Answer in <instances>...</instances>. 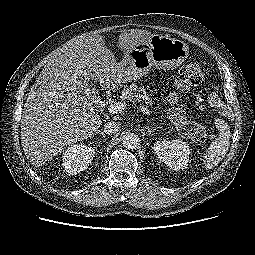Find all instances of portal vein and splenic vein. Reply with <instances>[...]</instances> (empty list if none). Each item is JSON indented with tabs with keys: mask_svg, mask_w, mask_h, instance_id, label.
Here are the masks:
<instances>
[{
	"mask_svg": "<svg viewBox=\"0 0 255 255\" xmlns=\"http://www.w3.org/2000/svg\"><path fill=\"white\" fill-rule=\"evenodd\" d=\"M127 103L126 102H116V103H111L108 106V111L111 114H118L123 112L127 108ZM138 109L143 112L146 115L150 114V110L148 109V106L145 105H140L138 106Z\"/></svg>",
	"mask_w": 255,
	"mask_h": 255,
	"instance_id": "obj_1",
	"label": "portal vein and splenic vein"
}]
</instances>
